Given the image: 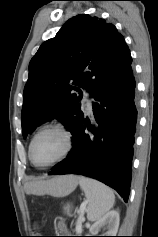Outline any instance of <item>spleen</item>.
Segmentation results:
<instances>
[{
  "label": "spleen",
  "instance_id": "3e777b00",
  "mask_svg": "<svg viewBox=\"0 0 158 237\" xmlns=\"http://www.w3.org/2000/svg\"><path fill=\"white\" fill-rule=\"evenodd\" d=\"M79 184L88 200L87 219L91 222L101 219L114 205L113 191L105 184L83 176Z\"/></svg>",
  "mask_w": 158,
  "mask_h": 237
}]
</instances>
